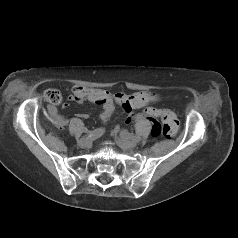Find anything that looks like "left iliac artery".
<instances>
[{
    "mask_svg": "<svg viewBox=\"0 0 238 238\" xmlns=\"http://www.w3.org/2000/svg\"><path fill=\"white\" fill-rule=\"evenodd\" d=\"M121 135L124 136V137H126V138L132 139V140H138V139H139V138L136 137L133 133H129V132L126 131V130H122Z\"/></svg>",
    "mask_w": 238,
    "mask_h": 238,
    "instance_id": "1",
    "label": "left iliac artery"
}]
</instances>
